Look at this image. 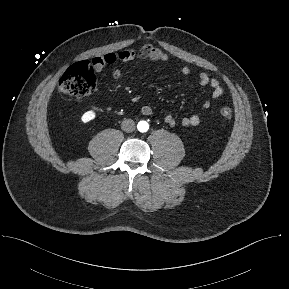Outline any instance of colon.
<instances>
[{"mask_svg":"<svg viewBox=\"0 0 289 289\" xmlns=\"http://www.w3.org/2000/svg\"><path fill=\"white\" fill-rule=\"evenodd\" d=\"M96 88V76L92 63L81 61L72 65L60 78L58 90L65 95L83 98L91 95ZM224 119H231L233 111L229 106L219 110Z\"/></svg>","mask_w":289,"mask_h":289,"instance_id":"obj_1","label":"colon"}]
</instances>
